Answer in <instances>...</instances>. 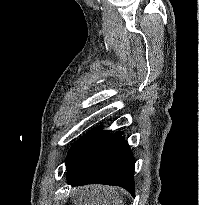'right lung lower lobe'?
Here are the masks:
<instances>
[{
  "instance_id": "98d812e1",
  "label": "right lung lower lobe",
  "mask_w": 199,
  "mask_h": 205,
  "mask_svg": "<svg viewBox=\"0 0 199 205\" xmlns=\"http://www.w3.org/2000/svg\"><path fill=\"white\" fill-rule=\"evenodd\" d=\"M135 159L121 132L114 133L67 170V183L72 186L107 184L134 192Z\"/></svg>"
}]
</instances>
